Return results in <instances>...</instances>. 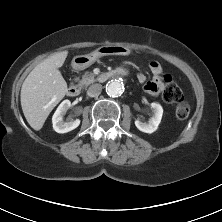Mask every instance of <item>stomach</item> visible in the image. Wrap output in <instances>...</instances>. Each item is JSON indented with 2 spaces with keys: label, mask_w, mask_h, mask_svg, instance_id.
Returning <instances> with one entry per match:
<instances>
[{
  "label": "stomach",
  "mask_w": 222,
  "mask_h": 222,
  "mask_svg": "<svg viewBox=\"0 0 222 222\" xmlns=\"http://www.w3.org/2000/svg\"><path fill=\"white\" fill-rule=\"evenodd\" d=\"M130 54V50L124 46H102L97 51L86 54L78 55L72 59L71 65L75 70H84L91 66L98 58L107 55H122L126 56Z\"/></svg>",
  "instance_id": "obj_1"
}]
</instances>
